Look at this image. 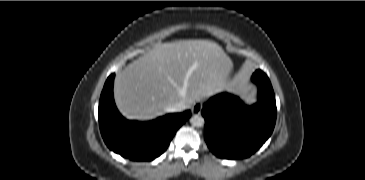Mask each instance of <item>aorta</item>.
I'll return each instance as SVG.
<instances>
[{"label": "aorta", "instance_id": "1", "mask_svg": "<svg viewBox=\"0 0 365 180\" xmlns=\"http://www.w3.org/2000/svg\"><path fill=\"white\" fill-rule=\"evenodd\" d=\"M190 123L195 127H202L205 123V120L200 115H194L191 117Z\"/></svg>", "mask_w": 365, "mask_h": 180}]
</instances>
